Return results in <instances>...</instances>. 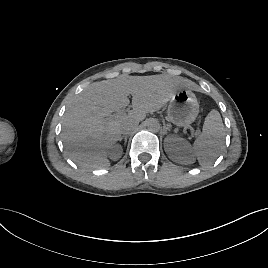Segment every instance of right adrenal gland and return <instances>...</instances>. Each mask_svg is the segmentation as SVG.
<instances>
[{"instance_id":"right-adrenal-gland-1","label":"right adrenal gland","mask_w":268,"mask_h":268,"mask_svg":"<svg viewBox=\"0 0 268 268\" xmlns=\"http://www.w3.org/2000/svg\"><path fill=\"white\" fill-rule=\"evenodd\" d=\"M122 139H124V145H126V142H127V137L125 136H122V137H120V139H119V141H121Z\"/></svg>"}]
</instances>
